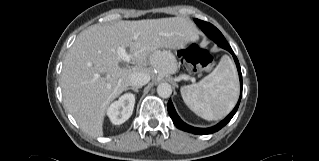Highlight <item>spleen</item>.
Masks as SVG:
<instances>
[{"mask_svg": "<svg viewBox=\"0 0 319 161\" xmlns=\"http://www.w3.org/2000/svg\"><path fill=\"white\" fill-rule=\"evenodd\" d=\"M180 91L185 104L196 115L209 121L221 119L238 98L235 66L228 56H223L212 73L198 83L182 86Z\"/></svg>", "mask_w": 319, "mask_h": 161, "instance_id": "1", "label": "spleen"}]
</instances>
